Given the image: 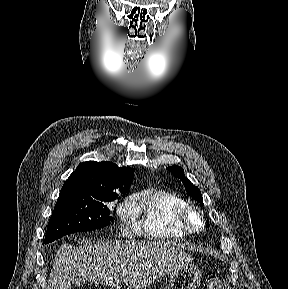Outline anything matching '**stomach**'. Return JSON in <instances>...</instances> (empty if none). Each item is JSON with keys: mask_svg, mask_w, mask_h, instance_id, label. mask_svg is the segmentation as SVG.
<instances>
[{"mask_svg": "<svg viewBox=\"0 0 288 289\" xmlns=\"http://www.w3.org/2000/svg\"><path fill=\"white\" fill-rule=\"evenodd\" d=\"M201 279L202 274L198 267L185 264L171 272L169 286L171 289H197Z\"/></svg>", "mask_w": 288, "mask_h": 289, "instance_id": "1", "label": "stomach"}]
</instances>
